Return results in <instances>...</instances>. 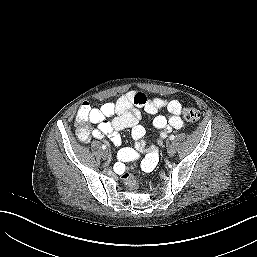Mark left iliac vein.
<instances>
[{"mask_svg": "<svg viewBox=\"0 0 257 257\" xmlns=\"http://www.w3.org/2000/svg\"><path fill=\"white\" fill-rule=\"evenodd\" d=\"M175 147L173 145H169L168 148H167V154L169 156H173L175 154Z\"/></svg>", "mask_w": 257, "mask_h": 257, "instance_id": "4c4485c4", "label": "left iliac vein"}]
</instances>
